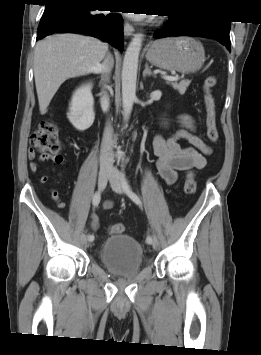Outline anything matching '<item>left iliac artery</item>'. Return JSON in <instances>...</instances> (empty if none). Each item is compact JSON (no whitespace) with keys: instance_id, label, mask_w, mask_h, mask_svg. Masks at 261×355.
Instances as JSON below:
<instances>
[{"instance_id":"obj_1","label":"left iliac artery","mask_w":261,"mask_h":355,"mask_svg":"<svg viewBox=\"0 0 261 355\" xmlns=\"http://www.w3.org/2000/svg\"><path fill=\"white\" fill-rule=\"evenodd\" d=\"M122 176L124 178V174L122 173ZM123 188L126 192V194L129 196V198L134 201L136 204H138L139 206L142 205L139 197L130 189L129 185L127 184V182L125 181V179H123ZM153 239L150 235L147 236L146 238V242L148 244H151L153 242Z\"/></svg>"}]
</instances>
